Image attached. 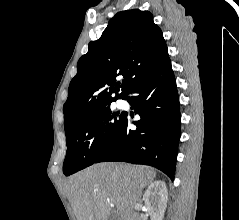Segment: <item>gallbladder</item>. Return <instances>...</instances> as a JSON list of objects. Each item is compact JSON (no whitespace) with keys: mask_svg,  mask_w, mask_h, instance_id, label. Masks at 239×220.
I'll use <instances>...</instances> for the list:
<instances>
[{"mask_svg":"<svg viewBox=\"0 0 239 220\" xmlns=\"http://www.w3.org/2000/svg\"><path fill=\"white\" fill-rule=\"evenodd\" d=\"M108 220H117L114 215H111Z\"/></svg>","mask_w":239,"mask_h":220,"instance_id":"bac80fb5","label":"gallbladder"}]
</instances>
